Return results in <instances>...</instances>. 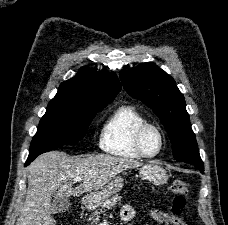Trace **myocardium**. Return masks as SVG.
Returning a JSON list of instances; mask_svg holds the SVG:
<instances>
[{
    "label": "myocardium",
    "instance_id": "myocardium-1",
    "mask_svg": "<svg viewBox=\"0 0 228 225\" xmlns=\"http://www.w3.org/2000/svg\"><path fill=\"white\" fill-rule=\"evenodd\" d=\"M151 130L157 132V134L160 137V147L155 153H149L145 148V142H144L145 137H146L147 133ZM165 142H166V137H165V133L162 130V128L159 125H157L155 123H151V122H147V123H144L143 125H141L138 128L136 135H135V144H136L137 149L144 157H147V158H154V157L159 156L165 147Z\"/></svg>",
    "mask_w": 228,
    "mask_h": 225
}]
</instances>
